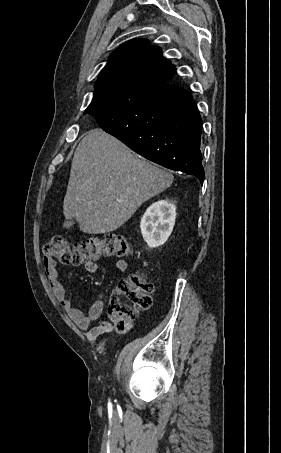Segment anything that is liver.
<instances>
[{
	"label": "liver",
	"mask_w": 281,
	"mask_h": 453,
	"mask_svg": "<svg viewBox=\"0 0 281 453\" xmlns=\"http://www.w3.org/2000/svg\"><path fill=\"white\" fill-rule=\"evenodd\" d=\"M126 144L101 128L79 142L73 156L63 212L88 235L112 233L137 208L171 186L173 174L137 158Z\"/></svg>",
	"instance_id": "6515ba94"
}]
</instances>
